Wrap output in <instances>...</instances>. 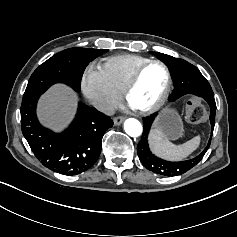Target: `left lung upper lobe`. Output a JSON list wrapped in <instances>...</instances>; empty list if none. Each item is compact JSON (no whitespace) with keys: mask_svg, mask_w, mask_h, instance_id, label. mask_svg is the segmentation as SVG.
<instances>
[{"mask_svg":"<svg viewBox=\"0 0 237 237\" xmlns=\"http://www.w3.org/2000/svg\"><path fill=\"white\" fill-rule=\"evenodd\" d=\"M152 54H155L161 61H163L172 73L175 89L170 101H175L186 94H193L202 98L214 95L209 82L194 65L183 59L174 58L166 54L158 52H152ZM154 118L155 115H152L143 119L144 131L141 141L137 146V153L142 164L148 170L165 176L181 175L198 164L208 150L212 137H210L208 145L204 151L195 158L181 162L165 161L154 156L148 147L147 136ZM212 134L213 132L211 131V135Z\"/></svg>","mask_w":237,"mask_h":237,"instance_id":"obj_1","label":"left lung upper lobe"}]
</instances>
